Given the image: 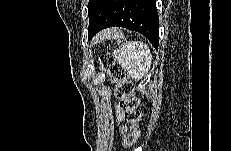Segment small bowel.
Listing matches in <instances>:
<instances>
[{
	"mask_svg": "<svg viewBox=\"0 0 231 151\" xmlns=\"http://www.w3.org/2000/svg\"><path fill=\"white\" fill-rule=\"evenodd\" d=\"M120 130H121V132H124V131H125V128L122 127V128H120Z\"/></svg>",
	"mask_w": 231,
	"mask_h": 151,
	"instance_id": "obj_1",
	"label": "small bowel"
}]
</instances>
